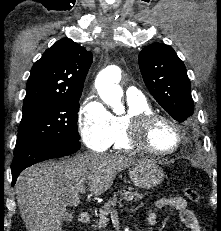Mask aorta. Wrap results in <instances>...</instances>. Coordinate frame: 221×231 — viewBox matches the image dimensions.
<instances>
[{
  "label": "aorta",
  "mask_w": 221,
  "mask_h": 231,
  "mask_svg": "<svg viewBox=\"0 0 221 231\" xmlns=\"http://www.w3.org/2000/svg\"><path fill=\"white\" fill-rule=\"evenodd\" d=\"M120 80L121 70L117 66H108L98 74L95 81L99 96L117 114L123 110L121 103L123 90L119 86Z\"/></svg>",
  "instance_id": "762f6f07"
}]
</instances>
